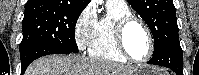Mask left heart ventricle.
<instances>
[{
	"mask_svg": "<svg viewBox=\"0 0 199 75\" xmlns=\"http://www.w3.org/2000/svg\"><path fill=\"white\" fill-rule=\"evenodd\" d=\"M125 44L135 59L144 58L149 51V42L144 29L137 23L131 24L125 33Z\"/></svg>",
	"mask_w": 199,
	"mask_h": 75,
	"instance_id": "obj_1",
	"label": "left heart ventricle"
}]
</instances>
